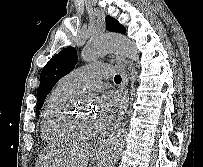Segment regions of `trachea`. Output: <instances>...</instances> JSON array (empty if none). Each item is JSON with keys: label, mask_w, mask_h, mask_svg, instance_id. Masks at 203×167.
<instances>
[{"label": "trachea", "mask_w": 203, "mask_h": 167, "mask_svg": "<svg viewBox=\"0 0 203 167\" xmlns=\"http://www.w3.org/2000/svg\"><path fill=\"white\" fill-rule=\"evenodd\" d=\"M121 80H122V78H121L120 75H115V77H114V81H115L116 83H120Z\"/></svg>", "instance_id": "3493384b"}]
</instances>
